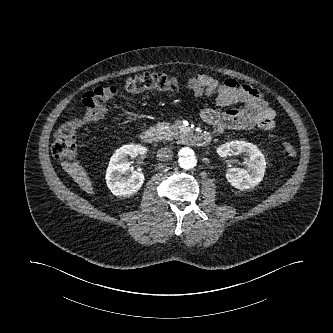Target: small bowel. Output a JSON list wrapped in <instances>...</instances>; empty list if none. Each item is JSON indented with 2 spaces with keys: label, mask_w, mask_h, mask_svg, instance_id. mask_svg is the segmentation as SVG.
Segmentation results:
<instances>
[{
  "label": "small bowel",
  "mask_w": 333,
  "mask_h": 333,
  "mask_svg": "<svg viewBox=\"0 0 333 333\" xmlns=\"http://www.w3.org/2000/svg\"><path fill=\"white\" fill-rule=\"evenodd\" d=\"M187 88L195 97L203 94L214 96L218 106L227 107L243 103L244 108H230L220 111L205 108L200 116L202 121L212 126L217 133L226 128L240 130H271L274 127L275 112L262 94L255 88L241 84L233 78L218 81L206 74H197L187 81ZM73 110V106L70 107Z\"/></svg>",
  "instance_id": "1"
}]
</instances>
